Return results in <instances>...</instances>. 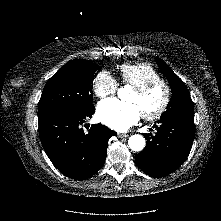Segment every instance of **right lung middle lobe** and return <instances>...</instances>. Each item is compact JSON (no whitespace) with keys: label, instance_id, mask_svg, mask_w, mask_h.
<instances>
[{"label":"right lung middle lobe","instance_id":"dd1d6c3e","mask_svg":"<svg viewBox=\"0 0 221 221\" xmlns=\"http://www.w3.org/2000/svg\"><path fill=\"white\" fill-rule=\"evenodd\" d=\"M99 70V65L89 60L67 62L47 81L38 103V117L92 106L93 80Z\"/></svg>","mask_w":221,"mask_h":221}]
</instances>
